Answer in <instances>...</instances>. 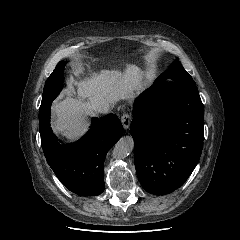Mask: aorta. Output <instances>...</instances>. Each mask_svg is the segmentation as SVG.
Returning a JSON list of instances; mask_svg holds the SVG:
<instances>
[{
    "instance_id": "1",
    "label": "aorta",
    "mask_w": 240,
    "mask_h": 240,
    "mask_svg": "<svg viewBox=\"0 0 240 240\" xmlns=\"http://www.w3.org/2000/svg\"><path fill=\"white\" fill-rule=\"evenodd\" d=\"M134 147V141L131 136L122 137L113 149V157L123 159L127 157Z\"/></svg>"
}]
</instances>
